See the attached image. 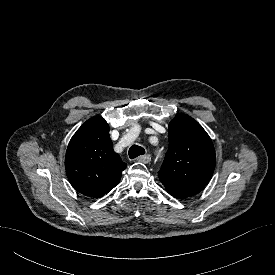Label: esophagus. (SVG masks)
Listing matches in <instances>:
<instances>
[{
  "label": "esophagus",
  "mask_w": 275,
  "mask_h": 275,
  "mask_svg": "<svg viewBox=\"0 0 275 275\" xmlns=\"http://www.w3.org/2000/svg\"><path fill=\"white\" fill-rule=\"evenodd\" d=\"M137 161L141 162V163L147 164V163H149L151 161V156L149 154L139 156L137 158Z\"/></svg>",
  "instance_id": "esophagus-1"
}]
</instances>
